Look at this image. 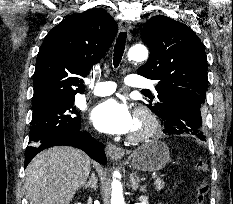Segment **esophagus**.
Returning a JSON list of instances; mask_svg holds the SVG:
<instances>
[{
  "mask_svg": "<svg viewBox=\"0 0 233 204\" xmlns=\"http://www.w3.org/2000/svg\"><path fill=\"white\" fill-rule=\"evenodd\" d=\"M132 29L131 25H126L124 27V30L127 32L128 39H131ZM105 152L111 159H119L124 155V149L112 143L107 144Z\"/></svg>",
  "mask_w": 233,
  "mask_h": 204,
  "instance_id": "obj_1",
  "label": "esophagus"
}]
</instances>
